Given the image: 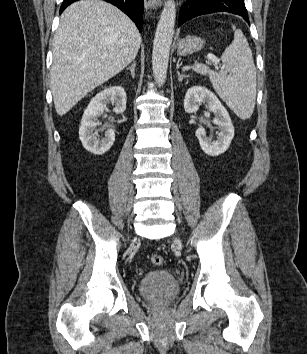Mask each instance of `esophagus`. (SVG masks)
Listing matches in <instances>:
<instances>
[{
    "instance_id": "esophagus-1",
    "label": "esophagus",
    "mask_w": 307,
    "mask_h": 354,
    "mask_svg": "<svg viewBox=\"0 0 307 354\" xmlns=\"http://www.w3.org/2000/svg\"><path fill=\"white\" fill-rule=\"evenodd\" d=\"M144 5L146 9H157L162 6L161 0H144Z\"/></svg>"
}]
</instances>
